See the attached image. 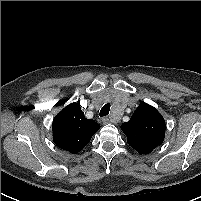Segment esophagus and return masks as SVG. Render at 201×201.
Returning <instances> with one entry per match:
<instances>
[{
    "label": "esophagus",
    "mask_w": 201,
    "mask_h": 201,
    "mask_svg": "<svg viewBox=\"0 0 201 201\" xmlns=\"http://www.w3.org/2000/svg\"><path fill=\"white\" fill-rule=\"evenodd\" d=\"M118 121V120H117ZM102 122H103V124L104 125H106V124H109L110 122H112L108 117H104L103 119H102ZM114 122V121H113Z\"/></svg>",
    "instance_id": "obj_1"
}]
</instances>
